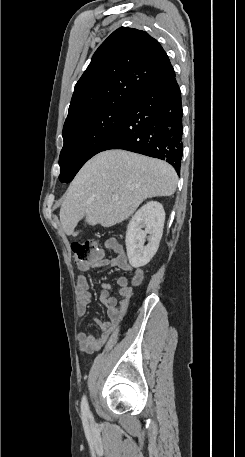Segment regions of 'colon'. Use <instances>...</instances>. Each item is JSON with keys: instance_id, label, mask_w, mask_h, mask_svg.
<instances>
[{"instance_id": "5ec220e1", "label": "colon", "mask_w": 245, "mask_h": 457, "mask_svg": "<svg viewBox=\"0 0 245 457\" xmlns=\"http://www.w3.org/2000/svg\"><path fill=\"white\" fill-rule=\"evenodd\" d=\"M99 248L94 240H83L74 242L71 245L73 260L76 263H83L91 260L99 253Z\"/></svg>"}]
</instances>
